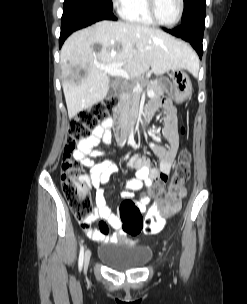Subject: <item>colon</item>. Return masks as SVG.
<instances>
[{
    "mask_svg": "<svg viewBox=\"0 0 247 304\" xmlns=\"http://www.w3.org/2000/svg\"><path fill=\"white\" fill-rule=\"evenodd\" d=\"M118 104L116 95H110L103 101L94 104L91 108L80 111L69 122V132L66 139L65 153L61 165V184L66 200L74 216L80 222L86 221L92 213V203L88 194V183L81 168L71 156L77 144L88 137L91 130L102 120L108 119ZM183 132L184 129L182 128ZM191 172V155L183 149L177 159L170 186L180 189L189 178ZM183 188V187H182ZM161 188L156 189L159 193ZM184 190L168 191L161 204L154 205L142 220L137 204L125 199L119 209L123 230L130 235L140 232L155 234L160 232L166 219L174 214L181 204Z\"/></svg>",
    "mask_w": 247,
    "mask_h": 304,
    "instance_id": "5ec220e1",
    "label": "colon"
}]
</instances>
